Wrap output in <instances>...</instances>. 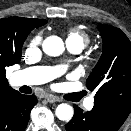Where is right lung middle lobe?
<instances>
[{"label":"right lung middle lobe","mask_w":131,"mask_h":131,"mask_svg":"<svg viewBox=\"0 0 131 131\" xmlns=\"http://www.w3.org/2000/svg\"><path fill=\"white\" fill-rule=\"evenodd\" d=\"M36 28V26H29V27H24L21 31H20V42H19V45H20V50L22 49V45L26 39V37L28 36V34L34 29Z\"/></svg>","instance_id":"dd1d6c3e"}]
</instances>
